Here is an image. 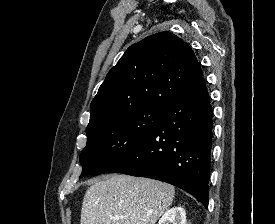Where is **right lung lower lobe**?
I'll return each mask as SVG.
<instances>
[{
    "instance_id": "98d812e1",
    "label": "right lung lower lobe",
    "mask_w": 275,
    "mask_h": 224,
    "mask_svg": "<svg viewBox=\"0 0 275 224\" xmlns=\"http://www.w3.org/2000/svg\"><path fill=\"white\" fill-rule=\"evenodd\" d=\"M212 117L201 78L165 110L149 136L107 172L167 182L192 194L207 208Z\"/></svg>"
}]
</instances>
